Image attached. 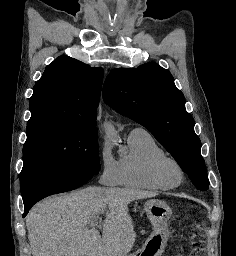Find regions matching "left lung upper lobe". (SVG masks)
Masks as SVG:
<instances>
[{
    "label": "left lung upper lobe",
    "instance_id": "obj_1",
    "mask_svg": "<svg viewBox=\"0 0 236 256\" xmlns=\"http://www.w3.org/2000/svg\"><path fill=\"white\" fill-rule=\"evenodd\" d=\"M103 97L117 112L146 127L198 189H208L194 119L186 111L184 95L168 70L153 62L114 69L105 80Z\"/></svg>",
    "mask_w": 236,
    "mask_h": 256
}]
</instances>
